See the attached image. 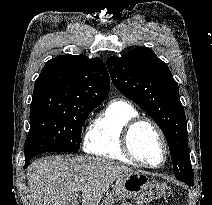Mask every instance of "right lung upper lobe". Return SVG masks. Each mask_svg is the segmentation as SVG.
Returning a JSON list of instances; mask_svg holds the SVG:
<instances>
[{
    "label": "right lung upper lobe",
    "instance_id": "1",
    "mask_svg": "<svg viewBox=\"0 0 212 205\" xmlns=\"http://www.w3.org/2000/svg\"><path fill=\"white\" fill-rule=\"evenodd\" d=\"M109 89L108 71L101 59L61 55L46 62L35 81L30 107L62 109L100 105Z\"/></svg>",
    "mask_w": 212,
    "mask_h": 205
}]
</instances>
